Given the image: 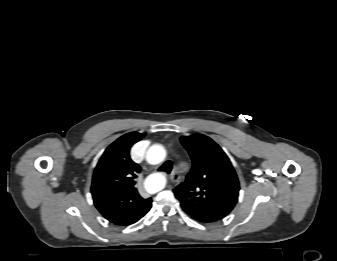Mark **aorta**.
Wrapping results in <instances>:
<instances>
[{"mask_svg":"<svg viewBox=\"0 0 337 261\" xmlns=\"http://www.w3.org/2000/svg\"><path fill=\"white\" fill-rule=\"evenodd\" d=\"M166 157V151L163 146L155 144L152 145L146 153V160L148 163L156 165L164 161ZM164 186V180L161 176L154 175L150 177L146 183V187L149 192L160 191Z\"/></svg>","mask_w":337,"mask_h":261,"instance_id":"obj_1","label":"aorta"}]
</instances>
